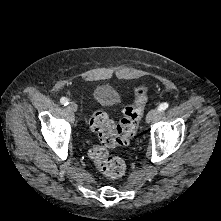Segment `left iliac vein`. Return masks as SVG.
<instances>
[{"mask_svg":"<svg viewBox=\"0 0 221 221\" xmlns=\"http://www.w3.org/2000/svg\"><path fill=\"white\" fill-rule=\"evenodd\" d=\"M157 113V109L150 110L146 115V122L150 123L152 120H154V118L157 116Z\"/></svg>","mask_w":221,"mask_h":221,"instance_id":"1","label":"left iliac vein"}]
</instances>
